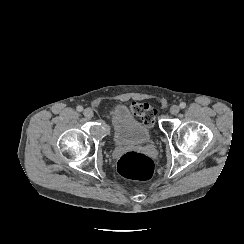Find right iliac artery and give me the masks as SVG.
<instances>
[{"instance_id": "right-iliac-artery-1", "label": "right iliac artery", "mask_w": 244, "mask_h": 244, "mask_svg": "<svg viewBox=\"0 0 244 244\" xmlns=\"http://www.w3.org/2000/svg\"><path fill=\"white\" fill-rule=\"evenodd\" d=\"M77 111H79V112L83 111V107L82 106H78L77 107Z\"/></svg>"}]
</instances>
